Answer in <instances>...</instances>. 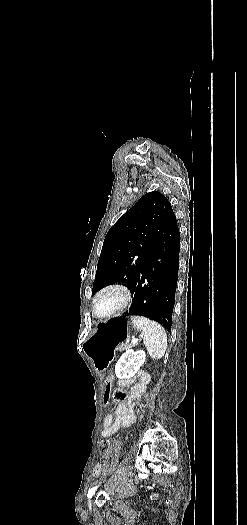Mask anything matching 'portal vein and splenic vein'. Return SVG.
Instances as JSON below:
<instances>
[{
  "label": "portal vein and splenic vein",
  "mask_w": 247,
  "mask_h": 525,
  "mask_svg": "<svg viewBox=\"0 0 247 525\" xmlns=\"http://www.w3.org/2000/svg\"><path fill=\"white\" fill-rule=\"evenodd\" d=\"M139 338H134V340H131V343H138Z\"/></svg>",
  "instance_id": "portal-vein-and-splenic-vein-1"
}]
</instances>
